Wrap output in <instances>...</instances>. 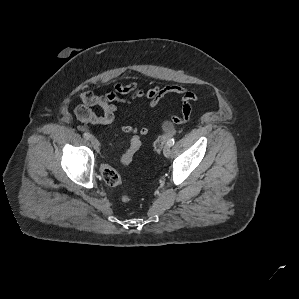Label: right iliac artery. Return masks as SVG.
<instances>
[{
	"label": "right iliac artery",
	"mask_w": 299,
	"mask_h": 299,
	"mask_svg": "<svg viewBox=\"0 0 299 299\" xmlns=\"http://www.w3.org/2000/svg\"><path fill=\"white\" fill-rule=\"evenodd\" d=\"M83 137L87 140H89L91 138V135L89 133H84Z\"/></svg>",
	"instance_id": "1"
}]
</instances>
